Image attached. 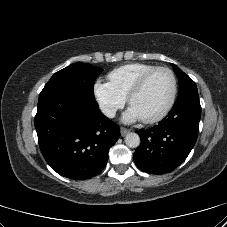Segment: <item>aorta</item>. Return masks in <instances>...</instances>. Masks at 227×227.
<instances>
[{
    "label": "aorta",
    "instance_id": "aorta-1",
    "mask_svg": "<svg viewBox=\"0 0 227 227\" xmlns=\"http://www.w3.org/2000/svg\"><path fill=\"white\" fill-rule=\"evenodd\" d=\"M125 143L130 148H137L140 145V137L136 133H128L125 137Z\"/></svg>",
    "mask_w": 227,
    "mask_h": 227
}]
</instances>
